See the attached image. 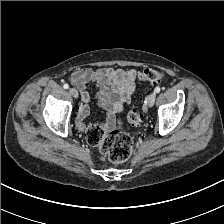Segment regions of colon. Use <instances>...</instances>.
<instances>
[{
	"mask_svg": "<svg viewBox=\"0 0 224 224\" xmlns=\"http://www.w3.org/2000/svg\"><path fill=\"white\" fill-rule=\"evenodd\" d=\"M141 83L159 84L165 80V74L155 69H145L139 76ZM140 104L135 103L127 117V125L136 127L141 123L142 114ZM87 142L99 148L98 158L102 162L122 163L132 155L134 150L133 139L122 132H107L98 124H91L86 130Z\"/></svg>",
	"mask_w": 224,
	"mask_h": 224,
	"instance_id": "colon-1",
	"label": "colon"
}]
</instances>
